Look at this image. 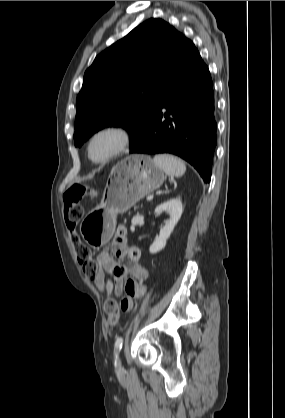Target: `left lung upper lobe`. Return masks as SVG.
I'll return each instance as SVG.
<instances>
[{"label":"left lung upper lobe","instance_id":"obj_1","mask_svg":"<svg viewBox=\"0 0 285 418\" xmlns=\"http://www.w3.org/2000/svg\"><path fill=\"white\" fill-rule=\"evenodd\" d=\"M184 35L151 18L99 54L86 70L76 100L75 146L107 126L143 136L162 86L174 66Z\"/></svg>","mask_w":285,"mask_h":418}]
</instances>
